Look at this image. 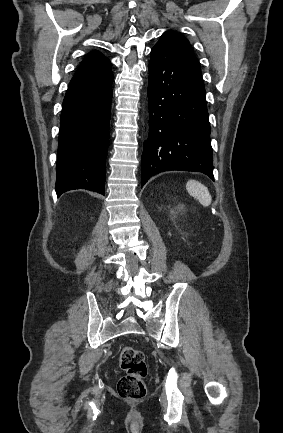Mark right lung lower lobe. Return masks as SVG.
Wrapping results in <instances>:
<instances>
[{"label": "right lung lower lobe", "instance_id": "1", "mask_svg": "<svg viewBox=\"0 0 283 433\" xmlns=\"http://www.w3.org/2000/svg\"><path fill=\"white\" fill-rule=\"evenodd\" d=\"M113 74L68 87L60 119L56 193L105 192Z\"/></svg>", "mask_w": 283, "mask_h": 433}]
</instances>
